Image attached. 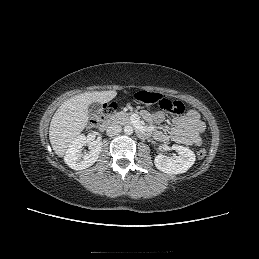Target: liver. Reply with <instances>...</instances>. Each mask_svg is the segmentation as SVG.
I'll use <instances>...</instances> for the list:
<instances>
[{
	"mask_svg": "<svg viewBox=\"0 0 259 259\" xmlns=\"http://www.w3.org/2000/svg\"><path fill=\"white\" fill-rule=\"evenodd\" d=\"M117 92L101 91L75 95L66 100L55 112L49 128V139L54 152L62 157L70 143L83 131L88 123V107L93 102L107 103Z\"/></svg>",
	"mask_w": 259,
	"mask_h": 259,
	"instance_id": "obj_1",
	"label": "liver"
}]
</instances>
